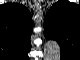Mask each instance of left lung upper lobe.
Segmentation results:
<instances>
[{
    "label": "left lung upper lobe",
    "instance_id": "left-lung-upper-lobe-1",
    "mask_svg": "<svg viewBox=\"0 0 80 60\" xmlns=\"http://www.w3.org/2000/svg\"><path fill=\"white\" fill-rule=\"evenodd\" d=\"M80 10L75 4L59 1L48 11L44 21V36L56 40L61 47V55L80 46V35L75 28L76 15ZM75 18V19H74Z\"/></svg>",
    "mask_w": 80,
    "mask_h": 60
}]
</instances>
